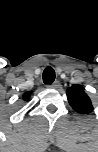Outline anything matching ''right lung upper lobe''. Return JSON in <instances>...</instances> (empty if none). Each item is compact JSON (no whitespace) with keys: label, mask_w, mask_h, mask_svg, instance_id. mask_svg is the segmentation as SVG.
<instances>
[{"label":"right lung upper lobe","mask_w":98,"mask_h":152,"mask_svg":"<svg viewBox=\"0 0 98 152\" xmlns=\"http://www.w3.org/2000/svg\"><path fill=\"white\" fill-rule=\"evenodd\" d=\"M29 96H30V93L27 92V93H25V94L23 95V98H24L25 100H28V99H29Z\"/></svg>","instance_id":"1"}]
</instances>
